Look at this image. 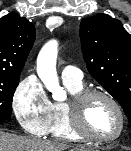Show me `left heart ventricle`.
Masks as SVG:
<instances>
[{
  "label": "left heart ventricle",
  "mask_w": 131,
  "mask_h": 151,
  "mask_svg": "<svg viewBox=\"0 0 131 151\" xmlns=\"http://www.w3.org/2000/svg\"><path fill=\"white\" fill-rule=\"evenodd\" d=\"M86 125L95 135L111 137L118 131L119 117L106 99L95 97L87 106Z\"/></svg>",
  "instance_id": "b2bd125f"
}]
</instances>
